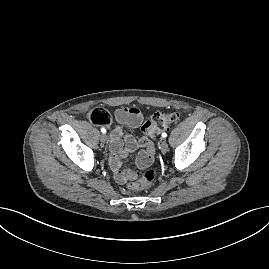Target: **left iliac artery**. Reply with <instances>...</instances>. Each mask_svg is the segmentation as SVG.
<instances>
[{
    "mask_svg": "<svg viewBox=\"0 0 269 269\" xmlns=\"http://www.w3.org/2000/svg\"><path fill=\"white\" fill-rule=\"evenodd\" d=\"M162 137L163 138H166L167 137V134L165 132L162 133Z\"/></svg>",
    "mask_w": 269,
    "mask_h": 269,
    "instance_id": "left-iliac-artery-1",
    "label": "left iliac artery"
}]
</instances>
